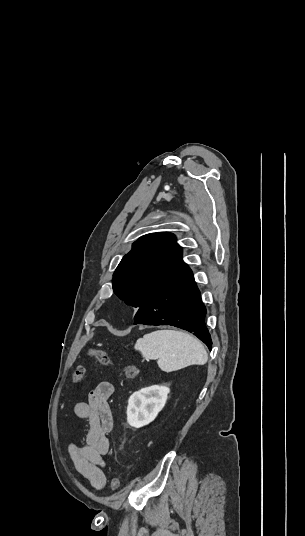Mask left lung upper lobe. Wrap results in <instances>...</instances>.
<instances>
[{
	"label": "left lung upper lobe",
	"instance_id": "5c2ea615",
	"mask_svg": "<svg viewBox=\"0 0 305 536\" xmlns=\"http://www.w3.org/2000/svg\"><path fill=\"white\" fill-rule=\"evenodd\" d=\"M188 268L173 234H147L122 258L113 275V290L126 304L140 308Z\"/></svg>",
	"mask_w": 305,
	"mask_h": 536
}]
</instances>
